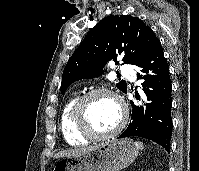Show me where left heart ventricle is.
Here are the masks:
<instances>
[{
	"instance_id": "left-heart-ventricle-1",
	"label": "left heart ventricle",
	"mask_w": 199,
	"mask_h": 171,
	"mask_svg": "<svg viewBox=\"0 0 199 171\" xmlns=\"http://www.w3.org/2000/svg\"><path fill=\"white\" fill-rule=\"evenodd\" d=\"M87 114L90 126L97 133L113 130L121 118L118 104L106 95L93 97L88 103Z\"/></svg>"
}]
</instances>
